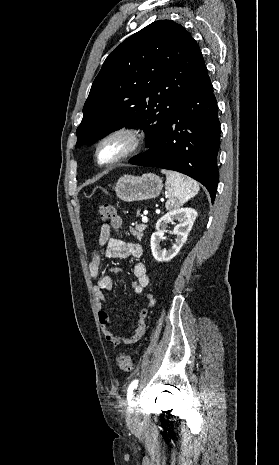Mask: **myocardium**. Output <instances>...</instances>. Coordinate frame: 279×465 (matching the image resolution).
<instances>
[{"mask_svg": "<svg viewBox=\"0 0 279 465\" xmlns=\"http://www.w3.org/2000/svg\"><path fill=\"white\" fill-rule=\"evenodd\" d=\"M115 137H123L127 140V147L126 149L117 157L108 160V161H103L100 157V150L101 147L110 139L115 138ZM145 131L135 125H123L116 127L107 133H105L97 142L96 148H95V158L96 161L99 165L102 166H110L114 165L116 163H119L128 157L132 156L135 154L144 144L145 142Z\"/></svg>", "mask_w": 279, "mask_h": 465, "instance_id": "1", "label": "myocardium"}]
</instances>
